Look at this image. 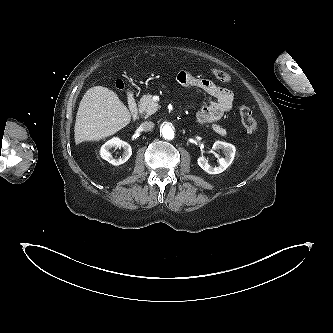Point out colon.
<instances>
[{
  "instance_id": "1",
  "label": "colon",
  "mask_w": 333,
  "mask_h": 333,
  "mask_svg": "<svg viewBox=\"0 0 333 333\" xmlns=\"http://www.w3.org/2000/svg\"><path fill=\"white\" fill-rule=\"evenodd\" d=\"M212 73H213L214 77L221 82L228 83L231 80L230 75L225 71H222L219 69H214L212 71ZM117 88L119 90H122V88H123L122 82L117 83ZM239 113H240L242 124H243L244 128L246 129V131L249 134H255L258 131V124L252 115L251 109L246 105H240Z\"/></svg>"
}]
</instances>
